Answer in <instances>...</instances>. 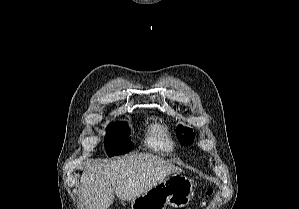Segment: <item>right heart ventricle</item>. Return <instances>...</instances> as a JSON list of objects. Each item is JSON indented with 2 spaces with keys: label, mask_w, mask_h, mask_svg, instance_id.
Listing matches in <instances>:
<instances>
[{
  "label": "right heart ventricle",
  "mask_w": 299,
  "mask_h": 209,
  "mask_svg": "<svg viewBox=\"0 0 299 209\" xmlns=\"http://www.w3.org/2000/svg\"><path fill=\"white\" fill-rule=\"evenodd\" d=\"M147 143L150 147L160 150L169 152L173 150V144L169 137L167 136L164 128L161 126H155L149 133Z\"/></svg>",
  "instance_id": "right-heart-ventricle-1"
}]
</instances>
